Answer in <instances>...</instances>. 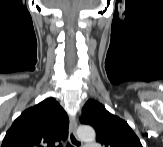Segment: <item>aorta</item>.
I'll return each mask as SVG.
<instances>
[{"label":"aorta","mask_w":163,"mask_h":147,"mask_svg":"<svg viewBox=\"0 0 163 147\" xmlns=\"http://www.w3.org/2000/svg\"><path fill=\"white\" fill-rule=\"evenodd\" d=\"M77 135L83 141H93L95 139V131L89 125L79 126Z\"/></svg>","instance_id":"762f6f07"}]
</instances>
